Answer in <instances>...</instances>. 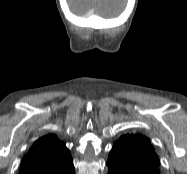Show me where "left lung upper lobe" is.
I'll list each match as a JSON object with an SVG mask.
<instances>
[{"label": "left lung upper lobe", "instance_id": "5c2ea615", "mask_svg": "<svg viewBox=\"0 0 187 174\" xmlns=\"http://www.w3.org/2000/svg\"><path fill=\"white\" fill-rule=\"evenodd\" d=\"M107 165L146 174H159L160 161L154 153L150 139L141 135L126 134L112 146Z\"/></svg>", "mask_w": 187, "mask_h": 174}]
</instances>
